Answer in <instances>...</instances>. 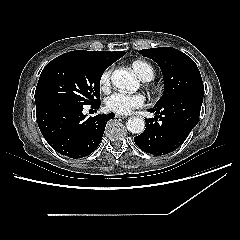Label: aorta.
<instances>
[{"mask_svg": "<svg viewBox=\"0 0 240 240\" xmlns=\"http://www.w3.org/2000/svg\"><path fill=\"white\" fill-rule=\"evenodd\" d=\"M111 82L123 91H134L138 87L134 75L123 69H117L112 73ZM126 126L132 134H141L145 130V121L140 117H131L127 120Z\"/></svg>", "mask_w": 240, "mask_h": 240, "instance_id": "obj_1", "label": "aorta"}]
</instances>
